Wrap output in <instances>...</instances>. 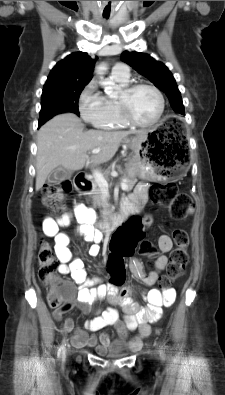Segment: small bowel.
<instances>
[{
	"mask_svg": "<svg viewBox=\"0 0 225 395\" xmlns=\"http://www.w3.org/2000/svg\"><path fill=\"white\" fill-rule=\"evenodd\" d=\"M147 183H139L134 191L122 203V210L126 214H135L139 208L147 202ZM73 216L78 223V230L85 237L87 242H92L89 254L96 256L100 251L101 235L93 224L96 219L95 212L82 205L77 204L73 209ZM72 214H64L58 219L47 217L43 220L42 230L45 235L53 237L55 241V252L60 261L59 272L69 274L74 283L78 285L76 297L68 301V308L56 309L53 312L55 319L60 320L62 315L67 312L74 304L82 310L92 309L96 301L107 299L110 304L105 310L96 311V316L85 322L84 327L91 333L98 332L107 326H114L121 338H126L128 331L138 329V334L129 341V347L136 350L142 345V340L151 333V323L157 322L162 315V308L171 306L176 298V293L171 288L162 290L153 288L144 294L148 307H141L130 298V290L119 291L114 288L113 283L100 284L98 279H89L84 269L83 261L74 258L68 247L69 237L60 231L61 227L70 223ZM144 227L151 224V218L143 220ZM173 243L168 235H161L158 238V248L160 255L154 262V269L145 272L142 263L137 259H132L129 267L133 275L143 284L152 286L159 278V274L164 270L168 263L167 253L172 249ZM117 307L124 313L123 321L119 320ZM64 330L71 332L74 328L72 319H66L63 324ZM72 342L76 347H92L97 352H103L110 343L111 339L106 333H102L99 338L95 335H88L83 330H77L72 337Z\"/></svg>",
	"mask_w": 225,
	"mask_h": 395,
	"instance_id": "obj_1",
	"label": "small bowel"
}]
</instances>
